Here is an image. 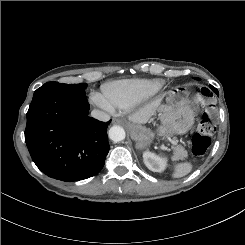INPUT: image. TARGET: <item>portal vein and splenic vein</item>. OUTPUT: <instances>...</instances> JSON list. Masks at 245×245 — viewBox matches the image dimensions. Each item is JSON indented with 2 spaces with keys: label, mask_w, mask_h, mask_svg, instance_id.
Returning <instances> with one entry per match:
<instances>
[{
  "label": "portal vein and splenic vein",
  "mask_w": 245,
  "mask_h": 245,
  "mask_svg": "<svg viewBox=\"0 0 245 245\" xmlns=\"http://www.w3.org/2000/svg\"><path fill=\"white\" fill-rule=\"evenodd\" d=\"M170 142H171L172 144H176V142H175V141H173V140H170Z\"/></svg>",
  "instance_id": "1"
}]
</instances>
